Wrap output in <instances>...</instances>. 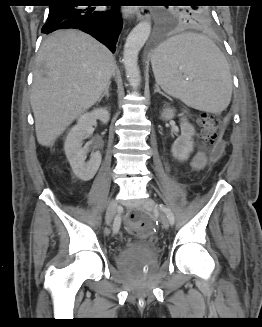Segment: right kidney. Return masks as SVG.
I'll list each match as a JSON object with an SVG mask.
<instances>
[{"instance_id": "1", "label": "right kidney", "mask_w": 262, "mask_h": 327, "mask_svg": "<svg viewBox=\"0 0 262 327\" xmlns=\"http://www.w3.org/2000/svg\"><path fill=\"white\" fill-rule=\"evenodd\" d=\"M99 119L103 124H107L110 114L107 108H97L91 112L82 114L77 124L69 131L65 143V155L75 175L83 181H88L94 177L101 164V153L96 151L91 154L90 160H86V149L82 147L83 140L91 133L94 122Z\"/></svg>"}]
</instances>
